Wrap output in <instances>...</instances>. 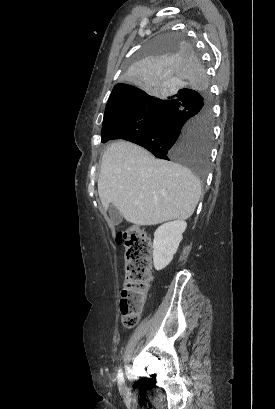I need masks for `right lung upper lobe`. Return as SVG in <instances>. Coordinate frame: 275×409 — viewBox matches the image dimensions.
Here are the masks:
<instances>
[{
	"instance_id": "1",
	"label": "right lung upper lobe",
	"mask_w": 275,
	"mask_h": 409,
	"mask_svg": "<svg viewBox=\"0 0 275 409\" xmlns=\"http://www.w3.org/2000/svg\"><path fill=\"white\" fill-rule=\"evenodd\" d=\"M143 92V90H136L133 85H124L123 83L117 84L112 90L105 111H109L116 104L129 97Z\"/></svg>"
}]
</instances>
